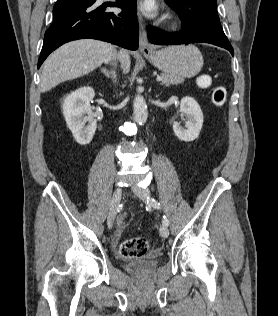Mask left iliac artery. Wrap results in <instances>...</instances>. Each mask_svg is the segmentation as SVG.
<instances>
[{"label": "left iliac artery", "mask_w": 278, "mask_h": 316, "mask_svg": "<svg viewBox=\"0 0 278 316\" xmlns=\"http://www.w3.org/2000/svg\"><path fill=\"white\" fill-rule=\"evenodd\" d=\"M149 201H150V204H151L154 208L160 209V203L157 202L155 199H150V200H148V202H149ZM162 223H163L164 225H166V226L169 225V221H168V219H167V217H166L165 215L163 216Z\"/></svg>", "instance_id": "44dca946"}]
</instances>
